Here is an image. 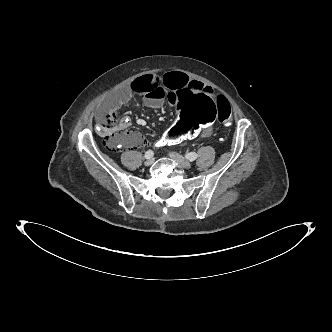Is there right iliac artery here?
<instances>
[{"label": "right iliac artery", "mask_w": 332, "mask_h": 332, "mask_svg": "<svg viewBox=\"0 0 332 332\" xmlns=\"http://www.w3.org/2000/svg\"><path fill=\"white\" fill-rule=\"evenodd\" d=\"M154 153L152 150H148L146 153H145V158L146 159H149L151 157H153Z\"/></svg>", "instance_id": "1"}]
</instances>
